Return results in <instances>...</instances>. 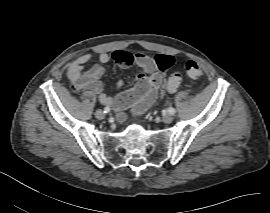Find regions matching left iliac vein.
<instances>
[{"label":"left iliac vein","instance_id":"left-iliac-vein-1","mask_svg":"<svg viewBox=\"0 0 270 213\" xmlns=\"http://www.w3.org/2000/svg\"><path fill=\"white\" fill-rule=\"evenodd\" d=\"M162 120L164 123H171L173 121V116L171 114H165Z\"/></svg>","mask_w":270,"mask_h":213}]
</instances>
